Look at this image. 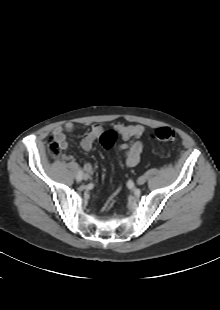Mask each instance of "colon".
<instances>
[{"mask_svg":"<svg viewBox=\"0 0 220 310\" xmlns=\"http://www.w3.org/2000/svg\"><path fill=\"white\" fill-rule=\"evenodd\" d=\"M118 135L119 133L116 130L103 132L100 136L101 145L106 149H110L115 144ZM150 137L165 143H173L176 140L175 132L169 127H159L155 129L151 132ZM48 152L52 158H60L62 156V147L60 143L52 138L48 144Z\"/></svg>","mask_w":220,"mask_h":310,"instance_id":"5ec220e1","label":"colon"}]
</instances>
